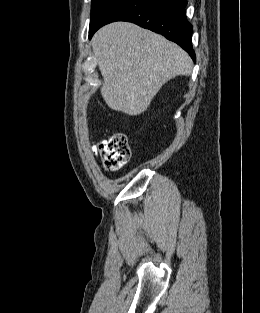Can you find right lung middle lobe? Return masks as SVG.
Segmentation results:
<instances>
[{
  "mask_svg": "<svg viewBox=\"0 0 260 313\" xmlns=\"http://www.w3.org/2000/svg\"><path fill=\"white\" fill-rule=\"evenodd\" d=\"M118 0H92L91 6V30L100 20V18L109 10V8L116 3Z\"/></svg>",
  "mask_w": 260,
  "mask_h": 313,
  "instance_id": "obj_1",
  "label": "right lung middle lobe"
}]
</instances>
